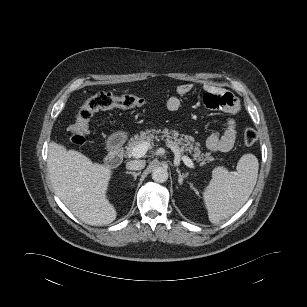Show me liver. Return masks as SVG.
Segmentation results:
<instances>
[{
  "label": "liver",
  "instance_id": "6515ba94",
  "mask_svg": "<svg viewBox=\"0 0 307 307\" xmlns=\"http://www.w3.org/2000/svg\"><path fill=\"white\" fill-rule=\"evenodd\" d=\"M47 166L55 194L82 222L102 226L116 219L117 212L106 196L112 175L108 166L53 141Z\"/></svg>",
  "mask_w": 307,
  "mask_h": 307
}]
</instances>
